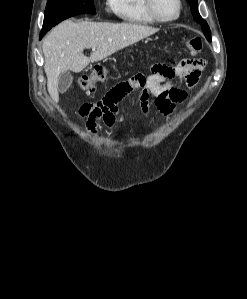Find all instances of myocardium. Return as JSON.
I'll return each mask as SVG.
<instances>
[{"label": "myocardium", "mask_w": 247, "mask_h": 299, "mask_svg": "<svg viewBox=\"0 0 247 299\" xmlns=\"http://www.w3.org/2000/svg\"><path fill=\"white\" fill-rule=\"evenodd\" d=\"M145 3H146V9H147L149 15L156 22H161V23H169V22L175 21L176 19L179 18L180 14H181V10H182L181 0H176V3H177L176 14L173 17H170V18H163L157 13V11L155 9V0H145Z\"/></svg>", "instance_id": "myocardium-1"}]
</instances>
